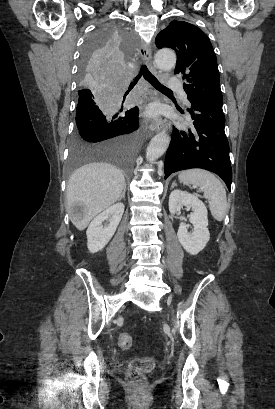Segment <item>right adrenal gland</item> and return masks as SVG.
<instances>
[{
    "mask_svg": "<svg viewBox=\"0 0 275 409\" xmlns=\"http://www.w3.org/2000/svg\"><path fill=\"white\" fill-rule=\"evenodd\" d=\"M125 192H126V186H124L123 192H122L121 196H119L118 200H121V198H125Z\"/></svg>",
    "mask_w": 275,
    "mask_h": 409,
    "instance_id": "1",
    "label": "right adrenal gland"
}]
</instances>
